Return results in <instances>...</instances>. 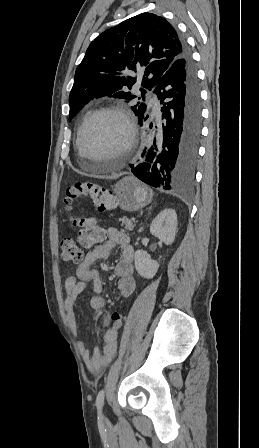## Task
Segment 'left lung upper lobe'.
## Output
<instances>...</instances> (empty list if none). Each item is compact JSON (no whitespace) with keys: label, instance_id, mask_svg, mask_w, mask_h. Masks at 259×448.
Listing matches in <instances>:
<instances>
[{"label":"left lung upper lobe","instance_id":"obj_1","mask_svg":"<svg viewBox=\"0 0 259 448\" xmlns=\"http://www.w3.org/2000/svg\"><path fill=\"white\" fill-rule=\"evenodd\" d=\"M183 53L182 39L163 17L141 13L100 34L88 47L75 72L70 92L71 119L82 105L109 96L132 101L126 89L136 83L155 87L161 76ZM133 72L142 74L140 79ZM131 109L138 118L147 113L146 90Z\"/></svg>","mask_w":259,"mask_h":448}]
</instances>
